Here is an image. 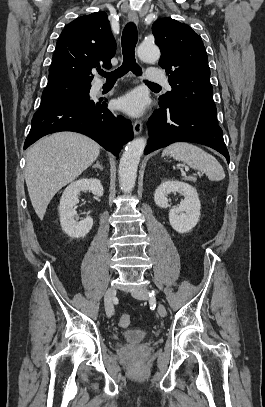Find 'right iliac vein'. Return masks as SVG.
<instances>
[{"label": "right iliac vein", "mask_w": 265, "mask_h": 407, "mask_svg": "<svg viewBox=\"0 0 265 407\" xmlns=\"http://www.w3.org/2000/svg\"><path fill=\"white\" fill-rule=\"evenodd\" d=\"M116 296V291L114 288H108L105 296H104V301H105V307H106V313L108 317H111L114 314V306H113V301Z\"/></svg>", "instance_id": "63e3f726"}]
</instances>
